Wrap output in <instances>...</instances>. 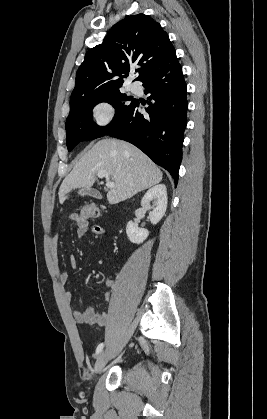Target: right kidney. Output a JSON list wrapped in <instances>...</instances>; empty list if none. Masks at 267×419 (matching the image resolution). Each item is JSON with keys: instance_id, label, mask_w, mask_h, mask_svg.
Instances as JSON below:
<instances>
[{"instance_id": "obj_1", "label": "right kidney", "mask_w": 267, "mask_h": 419, "mask_svg": "<svg viewBox=\"0 0 267 419\" xmlns=\"http://www.w3.org/2000/svg\"><path fill=\"white\" fill-rule=\"evenodd\" d=\"M155 200L153 210L149 212L152 224H157L165 215L167 208V189L164 184H158L150 188L141 200V206L151 209L150 202ZM126 234L132 243L140 244L149 235L147 229L139 228L133 221H129L126 226Z\"/></svg>"}]
</instances>
